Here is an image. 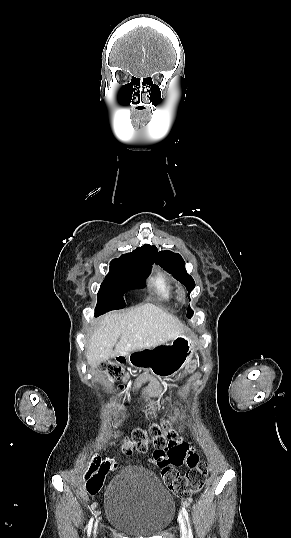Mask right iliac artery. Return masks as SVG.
<instances>
[{"mask_svg": "<svg viewBox=\"0 0 291 538\" xmlns=\"http://www.w3.org/2000/svg\"><path fill=\"white\" fill-rule=\"evenodd\" d=\"M92 525H93V517L90 519V521L88 523V526H87V535L88 536H90V534H91Z\"/></svg>", "mask_w": 291, "mask_h": 538, "instance_id": "right-iliac-artery-1", "label": "right iliac artery"}]
</instances>
